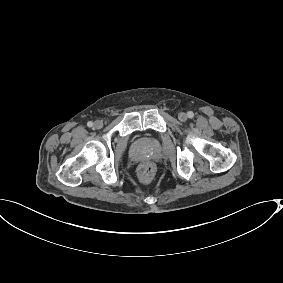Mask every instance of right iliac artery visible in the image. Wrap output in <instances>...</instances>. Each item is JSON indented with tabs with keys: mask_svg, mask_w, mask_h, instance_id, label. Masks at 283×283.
I'll list each match as a JSON object with an SVG mask.
<instances>
[{
	"mask_svg": "<svg viewBox=\"0 0 283 283\" xmlns=\"http://www.w3.org/2000/svg\"><path fill=\"white\" fill-rule=\"evenodd\" d=\"M87 126H88V127H92V126H93V122L89 121V122L87 123Z\"/></svg>",
	"mask_w": 283,
	"mask_h": 283,
	"instance_id": "right-iliac-artery-1",
	"label": "right iliac artery"
}]
</instances>
